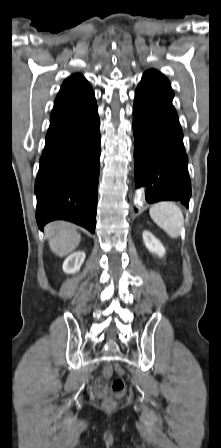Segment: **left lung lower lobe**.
<instances>
[{
    "label": "left lung lower lobe",
    "mask_w": 221,
    "mask_h": 448,
    "mask_svg": "<svg viewBox=\"0 0 221 448\" xmlns=\"http://www.w3.org/2000/svg\"><path fill=\"white\" fill-rule=\"evenodd\" d=\"M136 186L148 203L180 201L189 206L191 182L183 132L172 99L137 87L133 109Z\"/></svg>",
    "instance_id": "obj_1"
}]
</instances>
